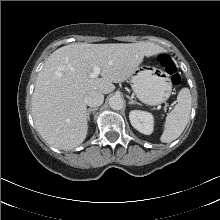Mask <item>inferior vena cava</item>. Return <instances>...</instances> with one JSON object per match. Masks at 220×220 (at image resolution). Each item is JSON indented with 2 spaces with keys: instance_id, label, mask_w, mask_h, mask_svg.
<instances>
[{
  "instance_id": "1",
  "label": "inferior vena cava",
  "mask_w": 220,
  "mask_h": 220,
  "mask_svg": "<svg viewBox=\"0 0 220 220\" xmlns=\"http://www.w3.org/2000/svg\"><path fill=\"white\" fill-rule=\"evenodd\" d=\"M103 101L104 95L98 91H89L85 96V103L90 107H98Z\"/></svg>"
}]
</instances>
